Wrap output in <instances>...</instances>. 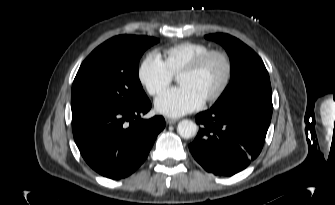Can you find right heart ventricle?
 <instances>
[{"mask_svg":"<svg viewBox=\"0 0 335 205\" xmlns=\"http://www.w3.org/2000/svg\"><path fill=\"white\" fill-rule=\"evenodd\" d=\"M211 50L203 43L186 41L162 51V60L172 75H178L199 56Z\"/></svg>","mask_w":335,"mask_h":205,"instance_id":"e07e8e85","label":"right heart ventricle"}]
</instances>
